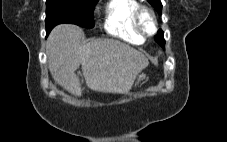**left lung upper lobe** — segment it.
<instances>
[{
	"mask_svg": "<svg viewBox=\"0 0 227 142\" xmlns=\"http://www.w3.org/2000/svg\"><path fill=\"white\" fill-rule=\"evenodd\" d=\"M148 2L156 9V11L161 15L162 12V4L160 0H148ZM163 31L160 30L158 35L155 37V40L158 44H160L163 48L165 47V40L163 37Z\"/></svg>",
	"mask_w": 227,
	"mask_h": 142,
	"instance_id": "obj_1",
	"label": "left lung upper lobe"
}]
</instances>
